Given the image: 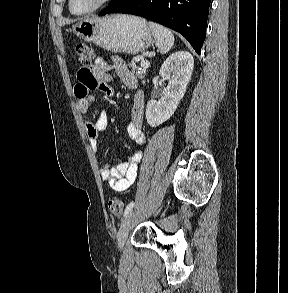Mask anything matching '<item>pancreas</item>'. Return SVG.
I'll return each instance as SVG.
<instances>
[{
	"mask_svg": "<svg viewBox=\"0 0 288 293\" xmlns=\"http://www.w3.org/2000/svg\"><path fill=\"white\" fill-rule=\"evenodd\" d=\"M129 67L131 68L133 73H136V76L138 78H143L145 76V73H146V68L145 67H142L141 69H138L134 62H131L129 64Z\"/></svg>",
	"mask_w": 288,
	"mask_h": 293,
	"instance_id": "1",
	"label": "pancreas"
}]
</instances>
